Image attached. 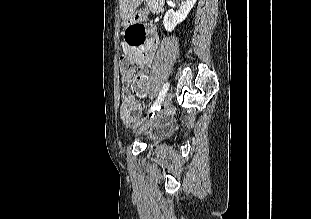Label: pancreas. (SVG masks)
Listing matches in <instances>:
<instances>
[{
	"mask_svg": "<svg viewBox=\"0 0 311 219\" xmlns=\"http://www.w3.org/2000/svg\"><path fill=\"white\" fill-rule=\"evenodd\" d=\"M147 1V10H157L161 9L163 6L164 0H146Z\"/></svg>",
	"mask_w": 311,
	"mask_h": 219,
	"instance_id": "pancreas-1",
	"label": "pancreas"
}]
</instances>
